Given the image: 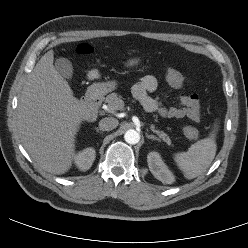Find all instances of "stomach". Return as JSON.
Wrapping results in <instances>:
<instances>
[{"instance_id": "obj_1", "label": "stomach", "mask_w": 248, "mask_h": 248, "mask_svg": "<svg viewBox=\"0 0 248 248\" xmlns=\"http://www.w3.org/2000/svg\"><path fill=\"white\" fill-rule=\"evenodd\" d=\"M142 60L139 57H134L126 60L124 62V67L125 68H135L137 67ZM117 84L115 81H108L105 83H102L101 87L104 91H112L116 88Z\"/></svg>"}]
</instances>
